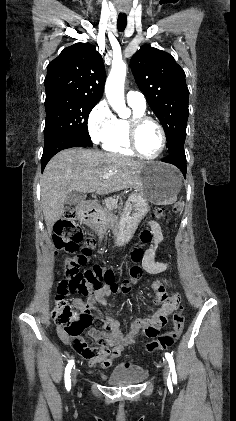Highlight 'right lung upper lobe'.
<instances>
[{
    "instance_id": "1",
    "label": "right lung upper lobe",
    "mask_w": 236,
    "mask_h": 421,
    "mask_svg": "<svg viewBox=\"0 0 236 421\" xmlns=\"http://www.w3.org/2000/svg\"><path fill=\"white\" fill-rule=\"evenodd\" d=\"M105 80L103 59L95 47L76 43L49 63L44 84L46 93L65 92L99 101Z\"/></svg>"
}]
</instances>
